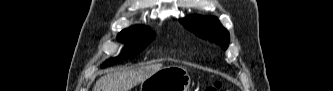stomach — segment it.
Listing matches in <instances>:
<instances>
[{"instance_id":"1","label":"stomach","mask_w":333,"mask_h":91,"mask_svg":"<svg viewBox=\"0 0 333 91\" xmlns=\"http://www.w3.org/2000/svg\"><path fill=\"white\" fill-rule=\"evenodd\" d=\"M190 76L181 66H166L141 82L140 91H189Z\"/></svg>"}]
</instances>
